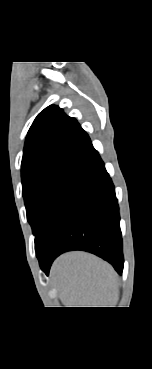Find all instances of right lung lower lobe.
<instances>
[{"instance_id":"obj_1","label":"right lung lower lobe","mask_w":152,"mask_h":369,"mask_svg":"<svg viewBox=\"0 0 152 369\" xmlns=\"http://www.w3.org/2000/svg\"><path fill=\"white\" fill-rule=\"evenodd\" d=\"M83 250L123 271V245L115 188L94 149L72 174L58 198L42 240L36 247L48 275L61 253Z\"/></svg>"}]
</instances>
